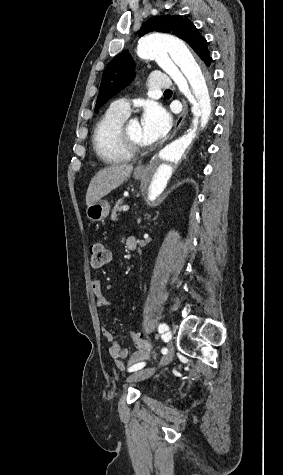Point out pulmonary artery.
Returning a JSON list of instances; mask_svg holds the SVG:
<instances>
[{
	"label": "pulmonary artery",
	"mask_w": 283,
	"mask_h": 475,
	"mask_svg": "<svg viewBox=\"0 0 283 475\" xmlns=\"http://www.w3.org/2000/svg\"><path fill=\"white\" fill-rule=\"evenodd\" d=\"M148 87L145 89L146 95L152 94V89H171L172 88V81L171 80H153L148 82ZM113 104L121 109L129 110V102L127 99H119Z\"/></svg>",
	"instance_id": "obj_1"
}]
</instances>
